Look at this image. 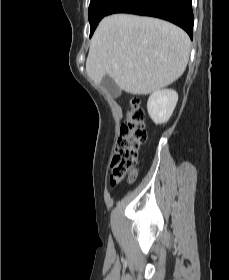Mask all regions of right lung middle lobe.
Listing matches in <instances>:
<instances>
[{"label": "right lung middle lobe", "mask_w": 229, "mask_h": 280, "mask_svg": "<svg viewBox=\"0 0 229 280\" xmlns=\"http://www.w3.org/2000/svg\"><path fill=\"white\" fill-rule=\"evenodd\" d=\"M114 2L115 0H91L89 5L90 37Z\"/></svg>", "instance_id": "dd1d6c3e"}]
</instances>
